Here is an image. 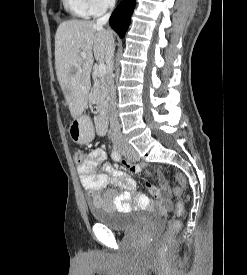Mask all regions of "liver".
Returning a JSON list of instances; mask_svg holds the SVG:
<instances>
[{
    "label": "liver",
    "instance_id": "obj_1",
    "mask_svg": "<svg viewBox=\"0 0 247 275\" xmlns=\"http://www.w3.org/2000/svg\"><path fill=\"white\" fill-rule=\"evenodd\" d=\"M110 31L93 21L69 20L55 34V68L71 116L78 118L87 106L94 58L106 63ZM85 52L83 58L81 53ZM109 72L108 66H106Z\"/></svg>",
    "mask_w": 247,
    "mask_h": 275
}]
</instances>
